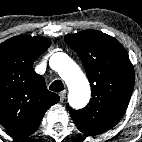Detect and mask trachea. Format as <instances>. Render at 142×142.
<instances>
[{
	"label": "trachea",
	"instance_id": "obj_1",
	"mask_svg": "<svg viewBox=\"0 0 142 142\" xmlns=\"http://www.w3.org/2000/svg\"><path fill=\"white\" fill-rule=\"evenodd\" d=\"M51 91L59 92L64 89V85L60 80H55L49 87Z\"/></svg>",
	"mask_w": 142,
	"mask_h": 142
}]
</instances>
